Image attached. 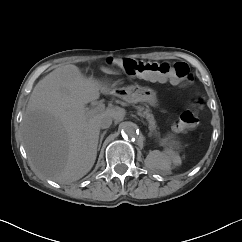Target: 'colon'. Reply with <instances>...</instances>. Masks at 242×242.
<instances>
[{
    "label": "colon",
    "instance_id": "obj_1",
    "mask_svg": "<svg viewBox=\"0 0 242 242\" xmlns=\"http://www.w3.org/2000/svg\"><path fill=\"white\" fill-rule=\"evenodd\" d=\"M106 62L108 65L123 69L129 75L139 76L150 81H170L173 84L184 86L193 82L189 67L184 62H153L117 57H109ZM200 107L201 102L198 101L194 108L184 110L173 124V130L182 132L196 126L198 123L197 110Z\"/></svg>",
    "mask_w": 242,
    "mask_h": 242
}]
</instances>
